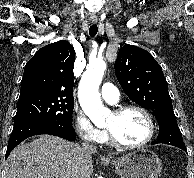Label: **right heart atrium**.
<instances>
[{"mask_svg": "<svg viewBox=\"0 0 194 178\" xmlns=\"http://www.w3.org/2000/svg\"><path fill=\"white\" fill-rule=\"evenodd\" d=\"M73 127L80 139L86 143L99 144L106 138V133L94 126L81 111L74 113Z\"/></svg>", "mask_w": 194, "mask_h": 178, "instance_id": "1", "label": "right heart atrium"}]
</instances>
